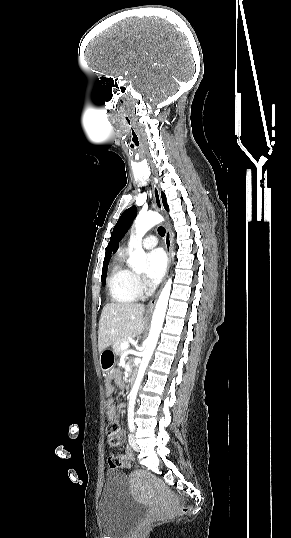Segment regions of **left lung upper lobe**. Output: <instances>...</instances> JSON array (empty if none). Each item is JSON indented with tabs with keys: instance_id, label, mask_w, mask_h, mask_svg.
<instances>
[{
	"instance_id": "left-lung-upper-lobe-1",
	"label": "left lung upper lobe",
	"mask_w": 291,
	"mask_h": 538,
	"mask_svg": "<svg viewBox=\"0 0 291 538\" xmlns=\"http://www.w3.org/2000/svg\"><path fill=\"white\" fill-rule=\"evenodd\" d=\"M161 197L163 201L164 208L169 211L168 205L166 203V196L161 192ZM137 208L132 206L125 210L120 216L117 224L115 225L113 232L111 233L112 242L114 244V250L117 248L119 241L122 239L128 228L130 227L133 219L136 216Z\"/></svg>"
}]
</instances>
